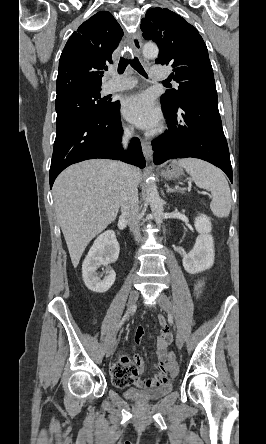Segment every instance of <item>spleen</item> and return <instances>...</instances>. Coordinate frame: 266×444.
<instances>
[{"label":"spleen","mask_w":266,"mask_h":444,"mask_svg":"<svg viewBox=\"0 0 266 444\" xmlns=\"http://www.w3.org/2000/svg\"><path fill=\"white\" fill-rule=\"evenodd\" d=\"M172 164L183 167L199 188L211 192L210 208L214 215L220 218L229 215L231 209L230 188L220 169L197 158L173 160Z\"/></svg>","instance_id":"3e777b00"}]
</instances>
